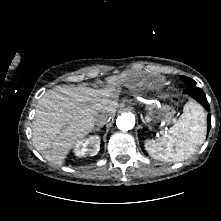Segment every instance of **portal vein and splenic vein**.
<instances>
[{"label": "portal vein and splenic vein", "mask_w": 221, "mask_h": 221, "mask_svg": "<svg viewBox=\"0 0 221 221\" xmlns=\"http://www.w3.org/2000/svg\"><path fill=\"white\" fill-rule=\"evenodd\" d=\"M146 120H147V121H149V120H150V118H149V117H146Z\"/></svg>", "instance_id": "18ae733b"}]
</instances>
